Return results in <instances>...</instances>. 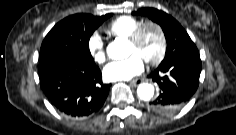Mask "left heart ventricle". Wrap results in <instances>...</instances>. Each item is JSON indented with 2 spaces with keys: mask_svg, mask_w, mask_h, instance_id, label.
Returning a JSON list of instances; mask_svg holds the SVG:
<instances>
[{
  "mask_svg": "<svg viewBox=\"0 0 236 135\" xmlns=\"http://www.w3.org/2000/svg\"><path fill=\"white\" fill-rule=\"evenodd\" d=\"M159 49V36L154 28H148L142 38L138 48L129 44V54H137L143 60L152 59Z\"/></svg>",
  "mask_w": 236,
  "mask_h": 135,
  "instance_id": "1",
  "label": "left heart ventricle"
}]
</instances>
